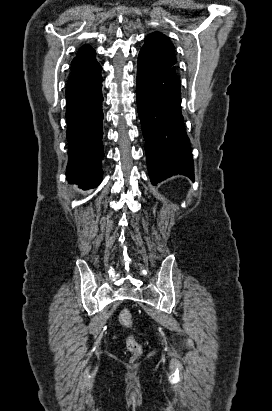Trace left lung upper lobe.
<instances>
[{"label":"left lung upper lobe","mask_w":272,"mask_h":411,"mask_svg":"<svg viewBox=\"0 0 272 411\" xmlns=\"http://www.w3.org/2000/svg\"><path fill=\"white\" fill-rule=\"evenodd\" d=\"M141 50L147 52L157 61L176 72L175 47L170 40L160 32H153L145 38Z\"/></svg>","instance_id":"5c2ea615"}]
</instances>
